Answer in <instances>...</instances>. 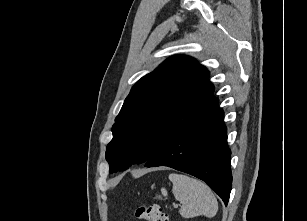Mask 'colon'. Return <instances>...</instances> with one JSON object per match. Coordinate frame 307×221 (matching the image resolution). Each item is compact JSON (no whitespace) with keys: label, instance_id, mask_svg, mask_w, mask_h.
<instances>
[{"label":"colon","instance_id":"colon-1","mask_svg":"<svg viewBox=\"0 0 307 221\" xmlns=\"http://www.w3.org/2000/svg\"><path fill=\"white\" fill-rule=\"evenodd\" d=\"M135 215L145 221H169L168 216L157 204H143L136 208Z\"/></svg>","mask_w":307,"mask_h":221}]
</instances>
